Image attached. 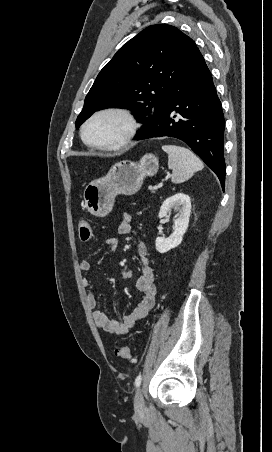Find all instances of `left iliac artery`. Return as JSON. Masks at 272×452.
<instances>
[{
  "instance_id": "left-iliac-artery-1",
  "label": "left iliac artery",
  "mask_w": 272,
  "mask_h": 452,
  "mask_svg": "<svg viewBox=\"0 0 272 452\" xmlns=\"http://www.w3.org/2000/svg\"><path fill=\"white\" fill-rule=\"evenodd\" d=\"M141 381H142V376H141V374H139V375L136 377V379H135V385H136V387H139V386H140Z\"/></svg>"
}]
</instances>
